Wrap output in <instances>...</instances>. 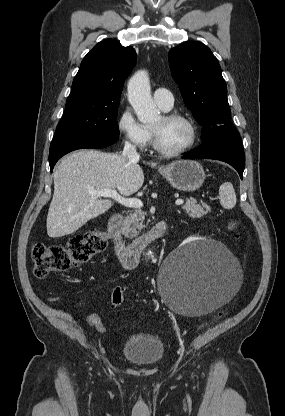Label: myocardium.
<instances>
[{"label": "myocardium", "instance_id": "myocardium-1", "mask_svg": "<svg viewBox=\"0 0 285 416\" xmlns=\"http://www.w3.org/2000/svg\"><path fill=\"white\" fill-rule=\"evenodd\" d=\"M165 120H181L185 122L190 130V140L186 146L178 150H167L161 147L157 141L155 132L150 128L152 136V145L157 153L165 157H178L188 153L196 144L197 141V127L194 121L187 115L178 112H165L162 114Z\"/></svg>", "mask_w": 285, "mask_h": 416}]
</instances>
